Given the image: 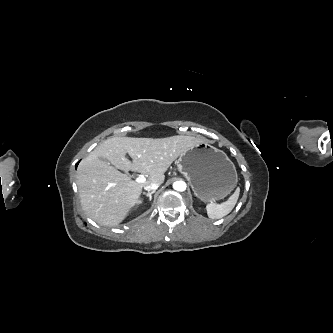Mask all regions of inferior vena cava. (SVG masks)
I'll list each match as a JSON object with an SVG mask.
<instances>
[{"instance_id":"602c4592","label":"inferior vena cava","mask_w":333,"mask_h":333,"mask_svg":"<svg viewBox=\"0 0 333 333\" xmlns=\"http://www.w3.org/2000/svg\"><path fill=\"white\" fill-rule=\"evenodd\" d=\"M159 186H160L159 183L153 182V183H151V184H149V185L144 186V189H145L146 191L149 192V191H151V190H156V189H158Z\"/></svg>"}]
</instances>
